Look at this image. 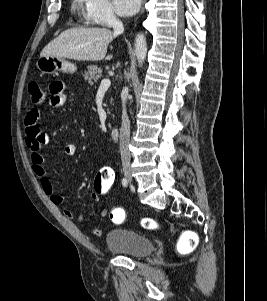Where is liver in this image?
Returning <instances> with one entry per match:
<instances>
[{"mask_svg": "<svg viewBox=\"0 0 267 301\" xmlns=\"http://www.w3.org/2000/svg\"><path fill=\"white\" fill-rule=\"evenodd\" d=\"M117 36L106 28H75L62 32L42 50L40 57L53 56L77 61L110 60L109 43Z\"/></svg>", "mask_w": 267, "mask_h": 301, "instance_id": "6515ba94", "label": "liver"}]
</instances>
